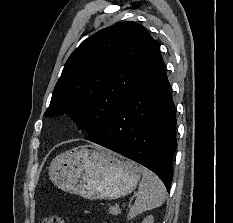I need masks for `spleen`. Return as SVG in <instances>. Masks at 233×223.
Masks as SVG:
<instances>
[{"label":"spleen","mask_w":233,"mask_h":223,"mask_svg":"<svg viewBox=\"0 0 233 223\" xmlns=\"http://www.w3.org/2000/svg\"><path fill=\"white\" fill-rule=\"evenodd\" d=\"M142 181L139 183V195L135 199L134 205L130 207L128 213V219L136 217L142 211L147 209H154L162 205L166 199V187L159 179L158 175H155L153 171H149L146 167H141Z\"/></svg>","instance_id":"3e777b00"}]
</instances>
